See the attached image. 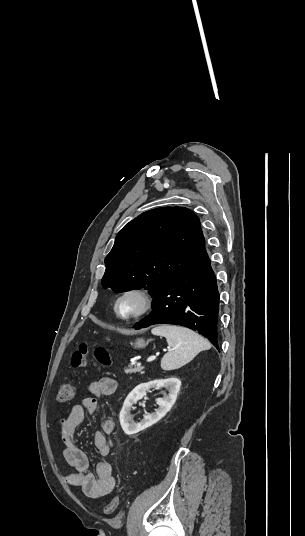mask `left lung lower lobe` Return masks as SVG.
Segmentation results:
<instances>
[{"instance_id":"obj_1","label":"left lung lower lobe","mask_w":305,"mask_h":536,"mask_svg":"<svg viewBox=\"0 0 305 536\" xmlns=\"http://www.w3.org/2000/svg\"><path fill=\"white\" fill-rule=\"evenodd\" d=\"M153 311L135 329L154 324L188 327L208 338L218 349L219 293L210 259L204 249L153 298Z\"/></svg>"}]
</instances>
